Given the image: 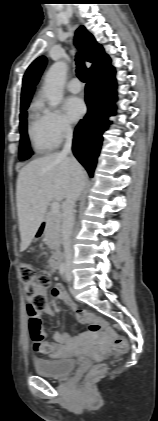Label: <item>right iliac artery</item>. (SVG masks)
<instances>
[{
    "mask_svg": "<svg viewBox=\"0 0 158 421\" xmlns=\"http://www.w3.org/2000/svg\"><path fill=\"white\" fill-rule=\"evenodd\" d=\"M59 271H60V274H61L62 276H64V274H65V272H66V264H65V263H62V264L60 265V267H59Z\"/></svg>",
    "mask_w": 158,
    "mask_h": 421,
    "instance_id": "right-iliac-artery-1",
    "label": "right iliac artery"
}]
</instances>
